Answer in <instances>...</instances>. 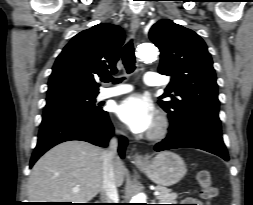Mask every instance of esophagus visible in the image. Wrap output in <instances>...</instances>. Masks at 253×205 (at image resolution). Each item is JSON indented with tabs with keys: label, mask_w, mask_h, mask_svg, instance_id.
Instances as JSON below:
<instances>
[{
	"label": "esophagus",
	"mask_w": 253,
	"mask_h": 205,
	"mask_svg": "<svg viewBox=\"0 0 253 205\" xmlns=\"http://www.w3.org/2000/svg\"><path fill=\"white\" fill-rule=\"evenodd\" d=\"M139 26H140L139 17L138 16H133L131 18V29H132V31L135 33L138 30ZM145 162H146V159L142 155H140L138 153H135L133 155V163L139 165V164H143Z\"/></svg>",
	"instance_id": "obj_1"
}]
</instances>
